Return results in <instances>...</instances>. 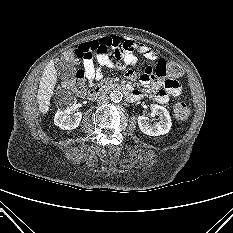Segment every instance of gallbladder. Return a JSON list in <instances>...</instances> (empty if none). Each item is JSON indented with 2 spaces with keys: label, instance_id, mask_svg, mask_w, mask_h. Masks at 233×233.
Here are the masks:
<instances>
[{
  "label": "gallbladder",
  "instance_id": "1",
  "mask_svg": "<svg viewBox=\"0 0 233 233\" xmlns=\"http://www.w3.org/2000/svg\"><path fill=\"white\" fill-rule=\"evenodd\" d=\"M56 68L59 77L63 80L72 78L74 76L75 67L70 62L67 61L59 62Z\"/></svg>",
  "mask_w": 233,
  "mask_h": 233
}]
</instances>
